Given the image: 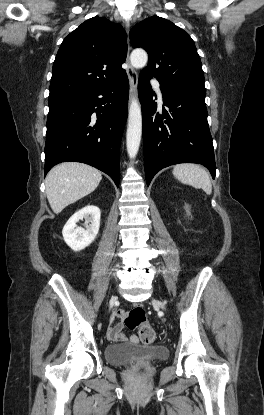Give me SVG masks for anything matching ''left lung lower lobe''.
<instances>
[{
    "instance_id": "obj_1",
    "label": "left lung lower lobe",
    "mask_w": 264,
    "mask_h": 415,
    "mask_svg": "<svg viewBox=\"0 0 264 415\" xmlns=\"http://www.w3.org/2000/svg\"><path fill=\"white\" fill-rule=\"evenodd\" d=\"M150 76L140 74L144 165L147 185L154 175L178 163H199L215 177L213 143L207 122L206 91L160 84L163 106L157 109Z\"/></svg>"
}]
</instances>
